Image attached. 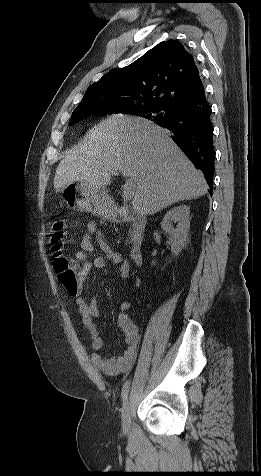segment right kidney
Returning a JSON list of instances; mask_svg holds the SVG:
<instances>
[{"mask_svg": "<svg viewBox=\"0 0 261 476\" xmlns=\"http://www.w3.org/2000/svg\"><path fill=\"white\" fill-rule=\"evenodd\" d=\"M189 214L190 208L188 206L179 205L170 209L161 222V228L169 235L171 252L174 256L179 255L182 249H184L190 229ZM172 222L177 223L176 228L172 226Z\"/></svg>", "mask_w": 261, "mask_h": 476, "instance_id": "right-kidney-1", "label": "right kidney"}]
</instances>
